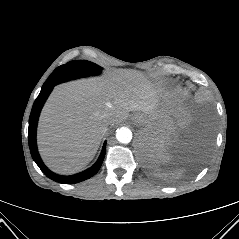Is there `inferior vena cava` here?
<instances>
[{"instance_id":"inferior-vena-cava-1","label":"inferior vena cava","mask_w":239,"mask_h":239,"mask_svg":"<svg viewBox=\"0 0 239 239\" xmlns=\"http://www.w3.org/2000/svg\"><path fill=\"white\" fill-rule=\"evenodd\" d=\"M114 120V116L112 114H107L104 116V121L109 124Z\"/></svg>"}]
</instances>
